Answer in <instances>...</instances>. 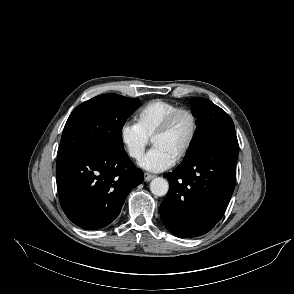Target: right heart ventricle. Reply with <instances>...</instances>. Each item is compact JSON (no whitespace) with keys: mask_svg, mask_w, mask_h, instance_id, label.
<instances>
[{"mask_svg":"<svg viewBox=\"0 0 294 294\" xmlns=\"http://www.w3.org/2000/svg\"><path fill=\"white\" fill-rule=\"evenodd\" d=\"M178 108L179 105L166 100H152L139 109L136 123L148 138H152L165 118Z\"/></svg>","mask_w":294,"mask_h":294,"instance_id":"right-heart-ventricle-1","label":"right heart ventricle"}]
</instances>
